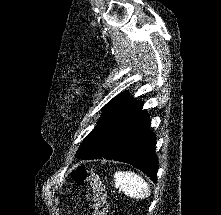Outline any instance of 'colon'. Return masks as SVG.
<instances>
[{
    "mask_svg": "<svg viewBox=\"0 0 221 215\" xmlns=\"http://www.w3.org/2000/svg\"><path fill=\"white\" fill-rule=\"evenodd\" d=\"M72 179L76 184H86L90 187L93 198L90 215H107L108 203L100 175L85 166H80L73 171Z\"/></svg>",
    "mask_w": 221,
    "mask_h": 215,
    "instance_id": "colon-1",
    "label": "colon"
}]
</instances>
